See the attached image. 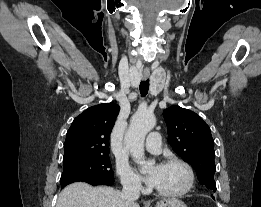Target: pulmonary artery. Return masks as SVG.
<instances>
[{"mask_svg":"<svg viewBox=\"0 0 261 207\" xmlns=\"http://www.w3.org/2000/svg\"><path fill=\"white\" fill-rule=\"evenodd\" d=\"M146 150L153 154L161 152V138L158 132H151L145 143Z\"/></svg>","mask_w":261,"mask_h":207,"instance_id":"e3ab8cb5","label":"pulmonary artery"}]
</instances>
